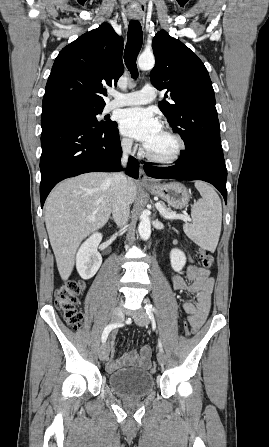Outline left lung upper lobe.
I'll return each mask as SVG.
<instances>
[{"mask_svg": "<svg viewBox=\"0 0 269 447\" xmlns=\"http://www.w3.org/2000/svg\"><path fill=\"white\" fill-rule=\"evenodd\" d=\"M152 47L156 65L150 73L151 82L158 90L169 92L171 103L163 100L159 108L184 140L181 155L204 146H221L214 90L203 62L166 31L155 35Z\"/></svg>", "mask_w": 269, "mask_h": 447, "instance_id": "left-lung-upper-lobe-1", "label": "left lung upper lobe"}]
</instances>
